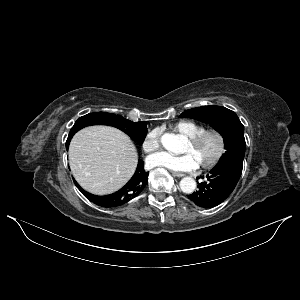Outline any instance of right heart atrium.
Here are the masks:
<instances>
[{
  "instance_id": "1",
  "label": "right heart atrium",
  "mask_w": 300,
  "mask_h": 300,
  "mask_svg": "<svg viewBox=\"0 0 300 300\" xmlns=\"http://www.w3.org/2000/svg\"><path fill=\"white\" fill-rule=\"evenodd\" d=\"M160 130H150L142 141V149L145 153H154L160 148Z\"/></svg>"
}]
</instances>
